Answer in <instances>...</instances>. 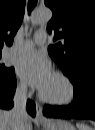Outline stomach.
I'll list each match as a JSON object with an SVG mask.
<instances>
[{
	"label": "stomach",
	"mask_w": 95,
	"mask_h": 130,
	"mask_svg": "<svg viewBox=\"0 0 95 130\" xmlns=\"http://www.w3.org/2000/svg\"><path fill=\"white\" fill-rule=\"evenodd\" d=\"M45 130H76L71 122L66 120H50L43 124Z\"/></svg>",
	"instance_id": "obj_1"
}]
</instances>
